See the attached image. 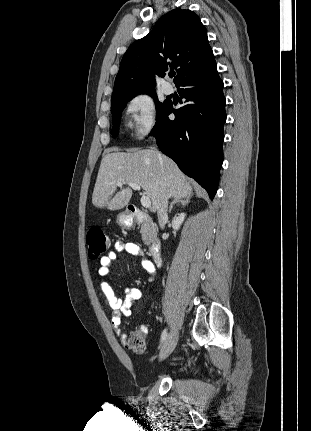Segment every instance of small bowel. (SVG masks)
<instances>
[{
  "label": "small bowel",
  "mask_w": 311,
  "mask_h": 431,
  "mask_svg": "<svg viewBox=\"0 0 311 431\" xmlns=\"http://www.w3.org/2000/svg\"><path fill=\"white\" fill-rule=\"evenodd\" d=\"M115 251L110 252L108 255L100 259V267L98 270L99 276L103 279L101 283V290L105 297L106 304L113 310L111 323L116 329V332L121 336L122 343H126V336L121 334L120 324L122 316H130L132 309L136 306L137 302L143 298V293L138 288H125L123 291L124 297L116 296L113 288L107 279L110 276V267L117 259V253L127 252L133 256H138L142 268L149 274L155 271L152 262L141 252L140 247L133 242L117 241L114 245Z\"/></svg>",
  "instance_id": "1"
}]
</instances>
